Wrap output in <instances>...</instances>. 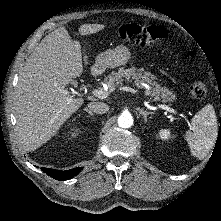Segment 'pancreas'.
<instances>
[{
    "label": "pancreas",
    "instance_id": "obj_1",
    "mask_svg": "<svg viewBox=\"0 0 221 221\" xmlns=\"http://www.w3.org/2000/svg\"><path fill=\"white\" fill-rule=\"evenodd\" d=\"M154 77L149 72H143V69L132 67L130 69L120 68L117 72H112L105 79L110 91H114L123 81L133 83L138 88H143L142 83L149 84L151 91L149 94L155 99H162L163 102L174 101L176 96L166 87H161L158 83L152 82Z\"/></svg>",
    "mask_w": 221,
    "mask_h": 221
}]
</instances>
